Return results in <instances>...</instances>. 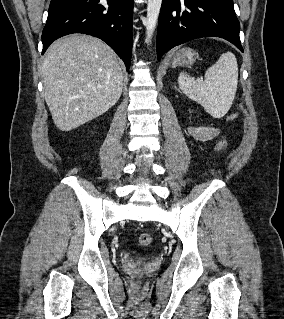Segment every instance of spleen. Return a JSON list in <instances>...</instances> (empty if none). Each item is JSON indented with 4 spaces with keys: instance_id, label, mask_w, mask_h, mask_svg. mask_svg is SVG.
Wrapping results in <instances>:
<instances>
[{
    "instance_id": "1",
    "label": "spleen",
    "mask_w": 284,
    "mask_h": 319,
    "mask_svg": "<svg viewBox=\"0 0 284 319\" xmlns=\"http://www.w3.org/2000/svg\"><path fill=\"white\" fill-rule=\"evenodd\" d=\"M238 83V64L231 52L223 53L205 72L204 81L180 73L179 88L191 100L199 103L214 118L223 117L234 100Z\"/></svg>"
}]
</instances>
